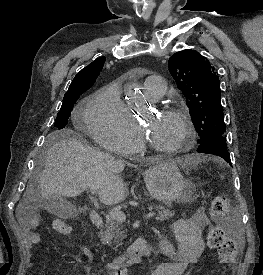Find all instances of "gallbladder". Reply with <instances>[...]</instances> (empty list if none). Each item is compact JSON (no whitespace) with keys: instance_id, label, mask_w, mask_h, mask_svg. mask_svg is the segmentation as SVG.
Returning <instances> with one entry per match:
<instances>
[{"instance_id":"obj_1","label":"gallbladder","mask_w":263,"mask_h":275,"mask_svg":"<svg viewBox=\"0 0 263 275\" xmlns=\"http://www.w3.org/2000/svg\"><path fill=\"white\" fill-rule=\"evenodd\" d=\"M42 206L48 213L62 219L71 218L77 213L75 206L60 196H49L43 199Z\"/></svg>"}]
</instances>
